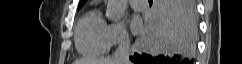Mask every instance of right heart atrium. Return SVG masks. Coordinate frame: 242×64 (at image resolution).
Wrapping results in <instances>:
<instances>
[{
    "instance_id": "1",
    "label": "right heart atrium",
    "mask_w": 242,
    "mask_h": 64,
    "mask_svg": "<svg viewBox=\"0 0 242 64\" xmlns=\"http://www.w3.org/2000/svg\"><path fill=\"white\" fill-rule=\"evenodd\" d=\"M107 34L110 46L127 44L129 42V36L123 22L109 24Z\"/></svg>"
}]
</instances>
